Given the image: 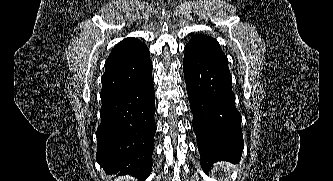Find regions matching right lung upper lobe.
<instances>
[{
    "label": "right lung upper lobe",
    "instance_id": "cb5924a9",
    "mask_svg": "<svg viewBox=\"0 0 333 181\" xmlns=\"http://www.w3.org/2000/svg\"><path fill=\"white\" fill-rule=\"evenodd\" d=\"M151 72L150 54L145 44L137 38L124 39L105 62L101 99L141 81Z\"/></svg>",
    "mask_w": 333,
    "mask_h": 181
}]
</instances>
